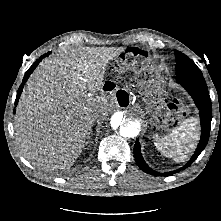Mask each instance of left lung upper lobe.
Masks as SVG:
<instances>
[{
  "instance_id": "obj_1",
  "label": "left lung upper lobe",
  "mask_w": 221,
  "mask_h": 221,
  "mask_svg": "<svg viewBox=\"0 0 221 221\" xmlns=\"http://www.w3.org/2000/svg\"><path fill=\"white\" fill-rule=\"evenodd\" d=\"M176 56V75H202L201 70L185 54L175 50Z\"/></svg>"
}]
</instances>
